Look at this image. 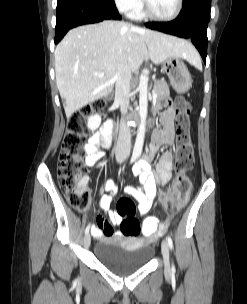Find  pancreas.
Returning a JSON list of instances; mask_svg holds the SVG:
<instances>
[{
  "instance_id": "pancreas-1",
  "label": "pancreas",
  "mask_w": 247,
  "mask_h": 304,
  "mask_svg": "<svg viewBox=\"0 0 247 304\" xmlns=\"http://www.w3.org/2000/svg\"><path fill=\"white\" fill-rule=\"evenodd\" d=\"M153 92L157 94L158 98L167 97L170 95L169 87L165 80L155 81Z\"/></svg>"
}]
</instances>
